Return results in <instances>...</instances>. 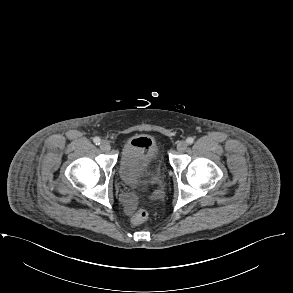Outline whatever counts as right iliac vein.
<instances>
[{
    "mask_svg": "<svg viewBox=\"0 0 293 293\" xmlns=\"http://www.w3.org/2000/svg\"><path fill=\"white\" fill-rule=\"evenodd\" d=\"M100 148L103 150V151H109L111 146H110V143L106 140H103L101 141L100 143Z\"/></svg>",
    "mask_w": 293,
    "mask_h": 293,
    "instance_id": "63e3f726",
    "label": "right iliac vein"
}]
</instances>
